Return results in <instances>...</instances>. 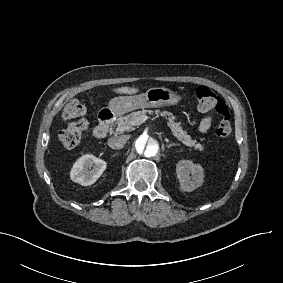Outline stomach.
Instances as JSON below:
<instances>
[{
  "mask_svg": "<svg viewBox=\"0 0 283 283\" xmlns=\"http://www.w3.org/2000/svg\"><path fill=\"white\" fill-rule=\"evenodd\" d=\"M182 100V96L167 87H152L146 93L140 95L119 96L110 100L109 109L117 117L143 108H162L176 106Z\"/></svg>",
  "mask_w": 283,
  "mask_h": 283,
  "instance_id": "stomach-1",
  "label": "stomach"
}]
</instances>
